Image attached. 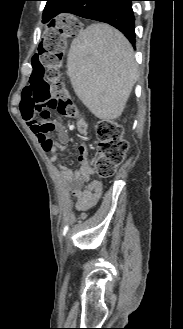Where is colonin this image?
Segmentation results:
<instances>
[{"label": "colon", "mask_w": 183, "mask_h": 329, "mask_svg": "<svg viewBox=\"0 0 183 329\" xmlns=\"http://www.w3.org/2000/svg\"><path fill=\"white\" fill-rule=\"evenodd\" d=\"M50 25H43L38 31V38H43L35 55L29 56L30 74L27 86H22L21 114L38 116L49 120L53 113L67 117H76L77 110L65 89V75L61 64L64 57L65 44H71L81 30L77 14H56L50 19ZM85 130V125L80 124ZM55 130L53 124L40 123L39 132L43 136V147L48 150L52 140L47 137ZM98 150L93 157L96 174L101 178L111 177L116 168L123 162L128 142L123 138V127L113 121H103L96 127Z\"/></svg>", "instance_id": "5ec220e1"}]
</instances>
